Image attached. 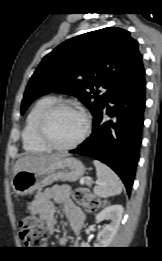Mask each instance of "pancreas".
<instances>
[{"instance_id": "pancreas-1", "label": "pancreas", "mask_w": 162, "mask_h": 261, "mask_svg": "<svg viewBox=\"0 0 162 261\" xmlns=\"http://www.w3.org/2000/svg\"><path fill=\"white\" fill-rule=\"evenodd\" d=\"M85 183H86V184H90V181H89V180H85Z\"/></svg>"}]
</instances>
